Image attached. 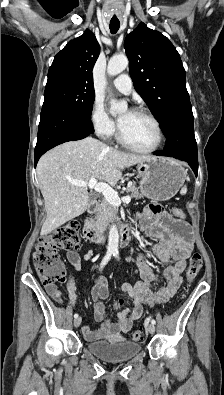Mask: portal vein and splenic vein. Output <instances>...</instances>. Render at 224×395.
Instances as JSON below:
<instances>
[{"mask_svg": "<svg viewBox=\"0 0 224 395\" xmlns=\"http://www.w3.org/2000/svg\"><path fill=\"white\" fill-rule=\"evenodd\" d=\"M71 184L79 187H85L94 189L98 193H102L104 198L114 206H119L121 203H129L131 201L130 196H126L120 199L118 193L106 183L98 182L97 179H91L88 182L70 180Z\"/></svg>", "mask_w": 224, "mask_h": 395, "instance_id": "portal-vein-and-splenic-vein-1", "label": "portal vein and splenic vein"}]
</instances>
